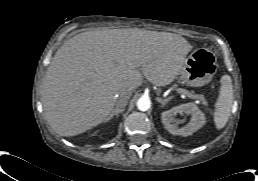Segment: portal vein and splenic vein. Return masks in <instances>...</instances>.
<instances>
[{
	"mask_svg": "<svg viewBox=\"0 0 258 181\" xmlns=\"http://www.w3.org/2000/svg\"><path fill=\"white\" fill-rule=\"evenodd\" d=\"M177 93L179 94H183L189 98H193V99H196V95L195 94H192L191 92L187 91V90H184V89H177Z\"/></svg>",
	"mask_w": 258,
	"mask_h": 181,
	"instance_id": "obj_1",
	"label": "portal vein and splenic vein"
}]
</instances>
